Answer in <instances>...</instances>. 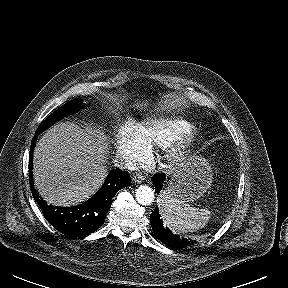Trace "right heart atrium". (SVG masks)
Segmentation results:
<instances>
[{
	"instance_id": "1",
	"label": "right heart atrium",
	"mask_w": 288,
	"mask_h": 288,
	"mask_svg": "<svg viewBox=\"0 0 288 288\" xmlns=\"http://www.w3.org/2000/svg\"><path fill=\"white\" fill-rule=\"evenodd\" d=\"M116 150L129 167L146 163L150 155V147L143 140L140 129L133 123H127L118 130Z\"/></svg>"
}]
</instances>
